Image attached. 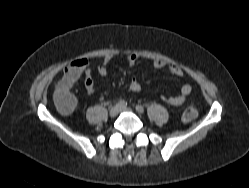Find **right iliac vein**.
I'll use <instances>...</instances> for the list:
<instances>
[{
    "label": "right iliac vein",
    "mask_w": 249,
    "mask_h": 188,
    "mask_svg": "<svg viewBox=\"0 0 249 188\" xmlns=\"http://www.w3.org/2000/svg\"><path fill=\"white\" fill-rule=\"evenodd\" d=\"M118 113H119V107L117 105L111 107L109 110L110 117H116Z\"/></svg>",
    "instance_id": "obj_1"
}]
</instances>
